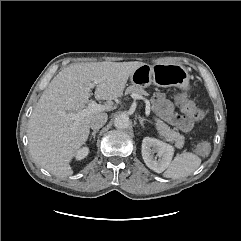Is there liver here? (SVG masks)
Masks as SVG:
<instances>
[{"mask_svg":"<svg viewBox=\"0 0 241 241\" xmlns=\"http://www.w3.org/2000/svg\"><path fill=\"white\" fill-rule=\"evenodd\" d=\"M144 64L90 62L60 71L41 95L29 119V150L35 163L60 178L72 175L70 162L87 141L91 119L114 109L112 100L123 95L128 78ZM96 80L99 82L94 95L97 100L107 101L104 109L76 123L67 115L86 107L91 96L89 83Z\"/></svg>","mask_w":241,"mask_h":241,"instance_id":"liver-1","label":"liver"}]
</instances>
